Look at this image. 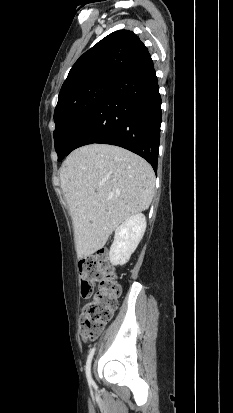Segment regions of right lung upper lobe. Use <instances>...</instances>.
<instances>
[{"mask_svg":"<svg viewBox=\"0 0 233 413\" xmlns=\"http://www.w3.org/2000/svg\"><path fill=\"white\" fill-rule=\"evenodd\" d=\"M147 54V48L133 32H113L75 62L62 85L59 98L96 78H117Z\"/></svg>","mask_w":233,"mask_h":413,"instance_id":"obj_1","label":"right lung upper lobe"}]
</instances>
